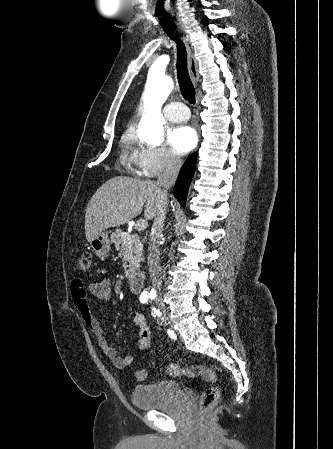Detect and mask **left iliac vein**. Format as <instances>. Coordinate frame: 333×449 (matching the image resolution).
Instances as JSON below:
<instances>
[{
	"instance_id": "left-iliac-vein-1",
	"label": "left iliac vein",
	"mask_w": 333,
	"mask_h": 449,
	"mask_svg": "<svg viewBox=\"0 0 333 449\" xmlns=\"http://www.w3.org/2000/svg\"><path fill=\"white\" fill-rule=\"evenodd\" d=\"M168 322H169V317L164 309V312L161 317V325L166 326V325H168Z\"/></svg>"
}]
</instances>
